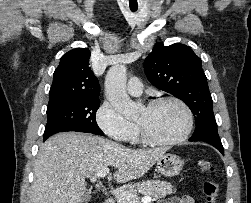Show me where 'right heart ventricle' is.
Masks as SVG:
<instances>
[{"mask_svg":"<svg viewBox=\"0 0 251 203\" xmlns=\"http://www.w3.org/2000/svg\"><path fill=\"white\" fill-rule=\"evenodd\" d=\"M130 140H132L134 142L139 140V135H138V129L137 128H135V131H134L133 135L131 136Z\"/></svg>","mask_w":251,"mask_h":203,"instance_id":"right-heart-ventricle-1","label":"right heart ventricle"}]
</instances>
